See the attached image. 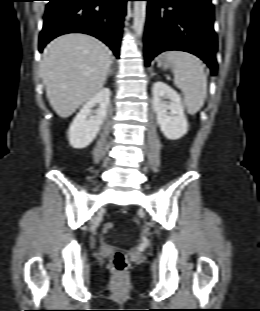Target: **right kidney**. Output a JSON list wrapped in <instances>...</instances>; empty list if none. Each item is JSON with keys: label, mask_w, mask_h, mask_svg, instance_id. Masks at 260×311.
<instances>
[{"label": "right kidney", "mask_w": 260, "mask_h": 311, "mask_svg": "<svg viewBox=\"0 0 260 311\" xmlns=\"http://www.w3.org/2000/svg\"><path fill=\"white\" fill-rule=\"evenodd\" d=\"M110 95L109 88H102L76 115L68 131L69 143L73 148H85L96 138L107 115ZM96 104L99 108L95 111V115H91L92 108Z\"/></svg>", "instance_id": "obj_1"}]
</instances>
